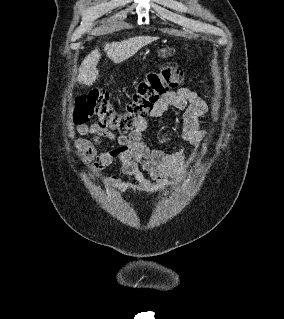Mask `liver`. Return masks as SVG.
I'll return each instance as SVG.
<instances>
[{"mask_svg":"<svg viewBox=\"0 0 284 319\" xmlns=\"http://www.w3.org/2000/svg\"><path fill=\"white\" fill-rule=\"evenodd\" d=\"M157 37L135 36L123 41L107 43L105 51L108 58L114 63H121L135 55L142 47L157 40ZM101 58L100 51L96 48L89 53L81 63L77 81L91 86L98 78L97 65Z\"/></svg>","mask_w":284,"mask_h":319,"instance_id":"6515ba94","label":"liver"}]
</instances>
